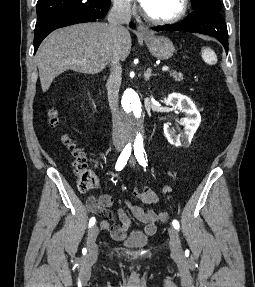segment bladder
Masks as SVG:
<instances>
[{
    "label": "bladder",
    "mask_w": 255,
    "mask_h": 287,
    "mask_svg": "<svg viewBox=\"0 0 255 287\" xmlns=\"http://www.w3.org/2000/svg\"><path fill=\"white\" fill-rule=\"evenodd\" d=\"M149 237L143 231H132L129 235L122 239V242L132 248H139L148 244Z\"/></svg>",
    "instance_id": "31cf9c89"
}]
</instances>
